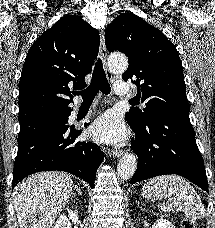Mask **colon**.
<instances>
[{
	"mask_svg": "<svg viewBox=\"0 0 215 228\" xmlns=\"http://www.w3.org/2000/svg\"><path fill=\"white\" fill-rule=\"evenodd\" d=\"M182 228H197V224L192 220H185Z\"/></svg>",
	"mask_w": 215,
	"mask_h": 228,
	"instance_id": "5ec220e1",
	"label": "colon"
}]
</instances>
